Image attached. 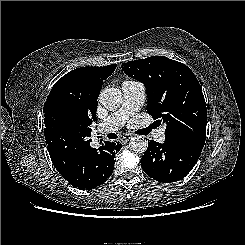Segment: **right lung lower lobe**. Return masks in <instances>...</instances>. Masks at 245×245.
Returning a JSON list of instances; mask_svg holds the SVG:
<instances>
[{
	"mask_svg": "<svg viewBox=\"0 0 245 245\" xmlns=\"http://www.w3.org/2000/svg\"><path fill=\"white\" fill-rule=\"evenodd\" d=\"M47 147L53 165L65 180L80 190H91L111 176L115 154L122 144L106 141L97 150L89 142L73 150L66 140L56 138Z\"/></svg>",
	"mask_w": 245,
	"mask_h": 245,
	"instance_id": "obj_1",
	"label": "right lung lower lobe"
}]
</instances>
